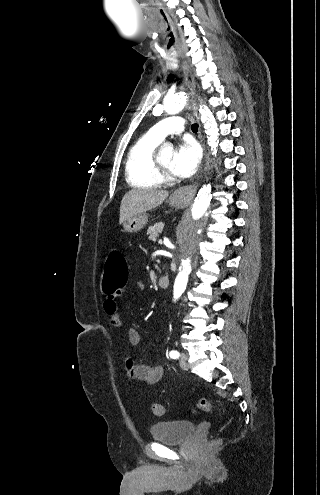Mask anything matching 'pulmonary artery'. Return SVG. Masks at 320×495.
Instances as JSON below:
<instances>
[{
  "label": "pulmonary artery",
  "mask_w": 320,
  "mask_h": 495,
  "mask_svg": "<svg viewBox=\"0 0 320 495\" xmlns=\"http://www.w3.org/2000/svg\"><path fill=\"white\" fill-rule=\"evenodd\" d=\"M185 119L180 116H170L159 121L149 130V133L159 140H163L169 134H178L184 130Z\"/></svg>",
  "instance_id": "1"
}]
</instances>
